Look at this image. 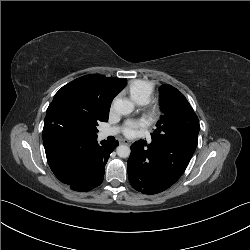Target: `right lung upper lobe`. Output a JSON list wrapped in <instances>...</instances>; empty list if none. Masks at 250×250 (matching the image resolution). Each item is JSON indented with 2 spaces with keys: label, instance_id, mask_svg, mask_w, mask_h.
I'll return each mask as SVG.
<instances>
[{
  "label": "right lung upper lobe",
  "instance_id": "right-lung-upper-lobe-1",
  "mask_svg": "<svg viewBox=\"0 0 250 250\" xmlns=\"http://www.w3.org/2000/svg\"><path fill=\"white\" fill-rule=\"evenodd\" d=\"M72 82L82 83L93 104L100 111L110 109L116 94L125 86L126 79L108 78L101 75H86ZM43 144L51 170H56L68 153L77 146L96 138H72L60 134L54 126L51 106L47 109V116L43 128Z\"/></svg>",
  "mask_w": 250,
  "mask_h": 250
}]
</instances>
